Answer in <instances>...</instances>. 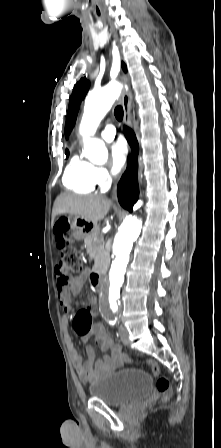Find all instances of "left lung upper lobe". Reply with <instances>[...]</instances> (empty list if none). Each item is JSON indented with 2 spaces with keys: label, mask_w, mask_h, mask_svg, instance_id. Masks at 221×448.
<instances>
[{
  "label": "left lung upper lobe",
  "mask_w": 221,
  "mask_h": 448,
  "mask_svg": "<svg viewBox=\"0 0 221 448\" xmlns=\"http://www.w3.org/2000/svg\"><path fill=\"white\" fill-rule=\"evenodd\" d=\"M122 67L123 70L126 71V66L124 63H122ZM88 89H89V82L86 80V78H82L78 83H76L73 89V93L70 97L68 116L65 126L66 138H68V135L76 122V117L78 114L80 103L82 99L85 97Z\"/></svg>",
  "instance_id": "1"
}]
</instances>
